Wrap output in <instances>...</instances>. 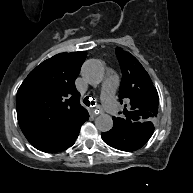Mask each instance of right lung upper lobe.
Masks as SVG:
<instances>
[{
  "mask_svg": "<svg viewBox=\"0 0 193 193\" xmlns=\"http://www.w3.org/2000/svg\"><path fill=\"white\" fill-rule=\"evenodd\" d=\"M85 51L60 53L32 70L17 92L18 122L28 141L43 152L68 148L88 120L75 88Z\"/></svg>",
  "mask_w": 193,
  "mask_h": 193,
  "instance_id": "obj_1",
  "label": "right lung upper lobe"
}]
</instances>
